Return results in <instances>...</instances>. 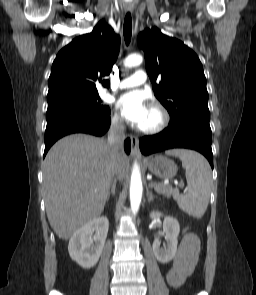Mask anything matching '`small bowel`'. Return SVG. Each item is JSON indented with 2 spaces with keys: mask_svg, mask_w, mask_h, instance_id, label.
I'll return each instance as SVG.
<instances>
[{
  "mask_svg": "<svg viewBox=\"0 0 256 295\" xmlns=\"http://www.w3.org/2000/svg\"><path fill=\"white\" fill-rule=\"evenodd\" d=\"M199 253V241L192 232H185L166 276L173 286H180L192 273Z\"/></svg>",
  "mask_w": 256,
  "mask_h": 295,
  "instance_id": "obj_1",
  "label": "small bowel"
}]
</instances>
